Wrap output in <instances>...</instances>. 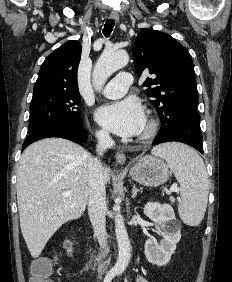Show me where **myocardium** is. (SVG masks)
Here are the masks:
<instances>
[{
	"label": "myocardium",
	"instance_id": "f54148a6",
	"mask_svg": "<svg viewBox=\"0 0 232 282\" xmlns=\"http://www.w3.org/2000/svg\"><path fill=\"white\" fill-rule=\"evenodd\" d=\"M158 128H159L158 121L153 117L148 118L144 126V129L142 130L141 134L138 137V140L139 141L150 140L156 135Z\"/></svg>",
	"mask_w": 232,
	"mask_h": 282
}]
</instances>
